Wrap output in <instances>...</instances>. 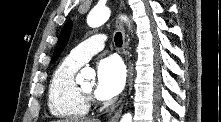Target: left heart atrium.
<instances>
[{
	"mask_svg": "<svg viewBox=\"0 0 221 122\" xmlns=\"http://www.w3.org/2000/svg\"><path fill=\"white\" fill-rule=\"evenodd\" d=\"M125 68L116 56L101 59L97 66V86L95 95L101 100L117 96L125 84Z\"/></svg>",
	"mask_w": 221,
	"mask_h": 122,
	"instance_id": "left-heart-atrium-1",
	"label": "left heart atrium"
}]
</instances>
